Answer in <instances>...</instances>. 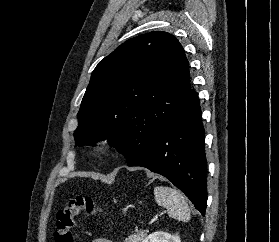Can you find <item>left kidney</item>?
Listing matches in <instances>:
<instances>
[{"label":"left kidney","instance_id":"left-kidney-1","mask_svg":"<svg viewBox=\"0 0 279 242\" xmlns=\"http://www.w3.org/2000/svg\"><path fill=\"white\" fill-rule=\"evenodd\" d=\"M142 242H181L178 235L157 231L148 235Z\"/></svg>","mask_w":279,"mask_h":242}]
</instances>
